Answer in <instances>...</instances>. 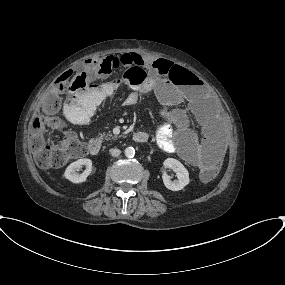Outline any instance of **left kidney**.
<instances>
[{"mask_svg":"<svg viewBox=\"0 0 285 285\" xmlns=\"http://www.w3.org/2000/svg\"><path fill=\"white\" fill-rule=\"evenodd\" d=\"M163 165L165 168H170L175 171L178 178L175 181H171L170 176H168L164 171L162 178L163 183L167 189L172 191H179L189 184V173L180 161L174 158H167L164 160Z\"/></svg>","mask_w":285,"mask_h":285,"instance_id":"5707ae66","label":"left kidney"}]
</instances>
